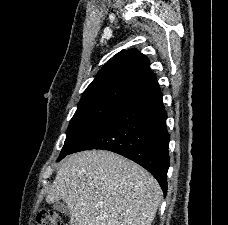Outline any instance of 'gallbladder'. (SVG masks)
<instances>
[{
    "label": "gallbladder",
    "mask_w": 228,
    "mask_h": 225,
    "mask_svg": "<svg viewBox=\"0 0 228 225\" xmlns=\"http://www.w3.org/2000/svg\"><path fill=\"white\" fill-rule=\"evenodd\" d=\"M53 209L60 211V213H65V215L68 213V209L64 203H53Z\"/></svg>",
    "instance_id": "1"
}]
</instances>
